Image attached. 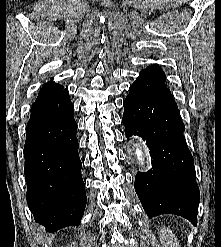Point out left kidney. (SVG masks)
Here are the masks:
<instances>
[{
	"label": "left kidney",
	"mask_w": 221,
	"mask_h": 247,
	"mask_svg": "<svg viewBox=\"0 0 221 247\" xmlns=\"http://www.w3.org/2000/svg\"><path fill=\"white\" fill-rule=\"evenodd\" d=\"M160 242L163 247H179V243L171 230L166 227L160 229Z\"/></svg>",
	"instance_id": "1"
}]
</instances>
